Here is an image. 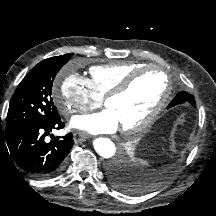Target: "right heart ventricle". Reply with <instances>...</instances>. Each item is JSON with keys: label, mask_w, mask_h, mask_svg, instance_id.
<instances>
[{"label": "right heart ventricle", "mask_w": 216, "mask_h": 216, "mask_svg": "<svg viewBox=\"0 0 216 216\" xmlns=\"http://www.w3.org/2000/svg\"><path fill=\"white\" fill-rule=\"evenodd\" d=\"M139 67H142V64L132 61L95 65L89 69V82L94 92L104 97L127 74Z\"/></svg>", "instance_id": "1"}]
</instances>
